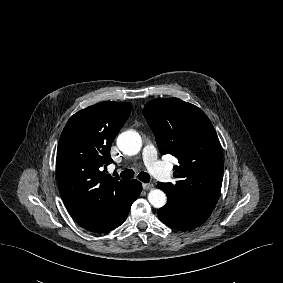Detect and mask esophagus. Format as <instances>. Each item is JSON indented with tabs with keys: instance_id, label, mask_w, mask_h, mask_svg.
<instances>
[{
	"instance_id": "esophagus-1",
	"label": "esophagus",
	"mask_w": 283,
	"mask_h": 283,
	"mask_svg": "<svg viewBox=\"0 0 283 283\" xmlns=\"http://www.w3.org/2000/svg\"><path fill=\"white\" fill-rule=\"evenodd\" d=\"M142 187L144 190H150V189H153L154 185L153 184H150V183H143L142 184Z\"/></svg>"
}]
</instances>
